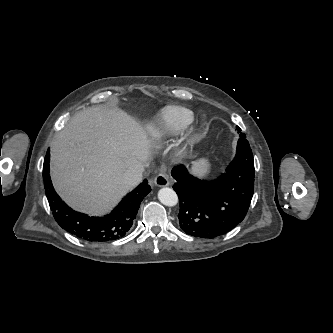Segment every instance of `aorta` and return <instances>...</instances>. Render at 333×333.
<instances>
[{
	"instance_id": "1",
	"label": "aorta",
	"mask_w": 333,
	"mask_h": 333,
	"mask_svg": "<svg viewBox=\"0 0 333 333\" xmlns=\"http://www.w3.org/2000/svg\"><path fill=\"white\" fill-rule=\"evenodd\" d=\"M159 201L169 207L175 206L178 203L176 192L168 187L161 188L158 192Z\"/></svg>"
}]
</instances>
